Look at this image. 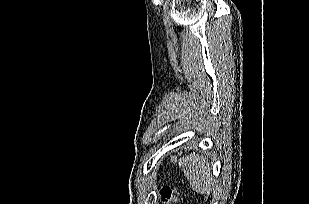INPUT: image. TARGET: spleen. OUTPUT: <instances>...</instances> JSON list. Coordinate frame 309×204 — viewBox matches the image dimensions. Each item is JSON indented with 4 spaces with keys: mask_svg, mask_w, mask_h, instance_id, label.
Segmentation results:
<instances>
[{
    "mask_svg": "<svg viewBox=\"0 0 309 204\" xmlns=\"http://www.w3.org/2000/svg\"><path fill=\"white\" fill-rule=\"evenodd\" d=\"M179 167L189 180L190 187L197 193H209L213 189L211 168L204 156L190 153L178 161Z\"/></svg>",
    "mask_w": 309,
    "mask_h": 204,
    "instance_id": "spleen-1",
    "label": "spleen"
}]
</instances>
